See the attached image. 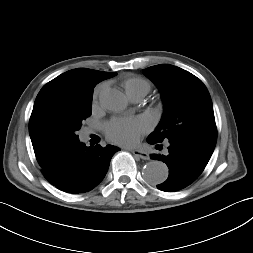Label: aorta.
<instances>
[{"mask_svg": "<svg viewBox=\"0 0 253 253\" xmlns=\"http://www.w3.org/2000/svg\"><path fill=\"white\" fill-rule=\"evenodd\" d=\"M100 104L103 108L120 113L127 107L126 96L118 89H106L99 96ZM143 178L152 185L163 183L168 177V167L165 163L152 160L143 168Z\"/></svg>", "mask_w": 253, "mask_h": 253, "instance_id": "aorta-1", "label": "aorta"}]
</instances>
